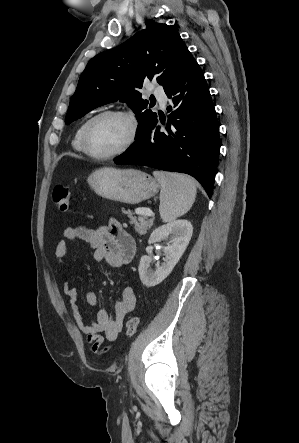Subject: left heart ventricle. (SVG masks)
Wrapping results in <instances>:
<instances>
[{
    "label": "left heart ventricle",
    "instance_id": "left-heart-ventricle-1",
    "mask_svg": "<svg viewBox=\"0 0 299 443\" xmlns=\"http://www.w3.org/2000/svg\"><path fill=\"white\" fill-rule=\"evenodd\" d=\"M128 122L117 116H105L95 121L89 131L90 149L96 154H108L119 149L129 136Z\"/></svg>",
    "mask_w": 299,
    "mask_h": 443
}]
</instances>
